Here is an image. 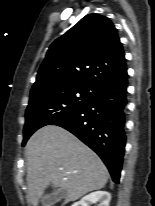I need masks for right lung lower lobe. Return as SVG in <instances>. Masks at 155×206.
I'll use <instances>...</instances> for the list:
<instances>
[{
  "mask_svg": "<svg viewBox=\"0 0 155 206\" xmlns=\"http://www.w3.org/2000/svg\"><path fill=\"white\" fill-rule=\"evenodd\" d=\"M127 87L126 72L100 88L80 110L53 124L70 131L95 151L115 183H119L125 151Z\"/></svg>",
  "mask_w": 155,
  "mask_h": 206,
  "instance_id": "98d812e1",
  "label": "right lung lower lobe"
}]
</instances>
